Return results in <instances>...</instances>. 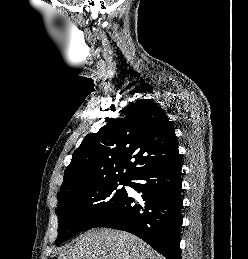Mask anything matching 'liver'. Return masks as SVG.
Returning <instances> with one entry per match:
<instances>
[{
    "instance_id": "liver-1",
    "label": "liver",
    "mask_w": 248,
    "mask_h": 259,
    "mask_svg": "<svg viewBox=\"0 0 248 259\" xmlns=\"http://www.w3.org/2000/svg\"><path fill=\"white\" fill-rule=\"evenodd\" d=\"M57 259H165L137 236L113 229H93L61 251Z\"/></svg>"
}]
</instances>
